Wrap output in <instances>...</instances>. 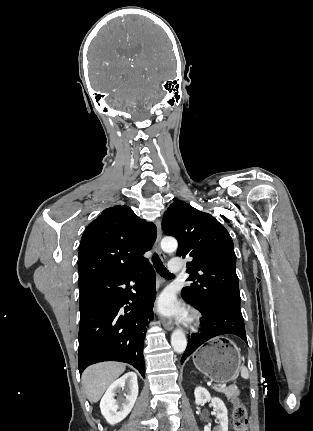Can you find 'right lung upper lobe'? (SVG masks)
I'll use <instances>...</instances> for the list:
<instances>
[{"label": "right lung upper lobe", "instance_id": "obj_1", "mask_svg": "<svg viewBox=\"0 0 313 431\" xmlns=\"http://www.w3.org/2000/svg\"><path fill=\"white\" fill-rule=\"evenodd\" d=\"M156 234L154 224H147L126 205L105 209L82 235L79 282L141 269L148 263L143 254L152 248Z\"/></svg>", "mask_w": 313, "mask_h": 431}]
</instances>
